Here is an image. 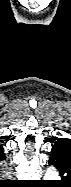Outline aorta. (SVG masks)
Returning a JSON list of instances; mask_svg holds the SVG:
<instances>
[{"label": "aorta", "instance_id": "762f6f07", "mask_svg": "<svg viewBox=\"0 0 71 187\" xmlns=\"http://www.w3.org/2000/svg\"><path fill=\"white\" fill-rule=\"evenodd\" d=\"M44 180H60V176L54 167H49L46 170Z\"/></svg>", "mask_w": 71, "mask_h": 187}]
</instances>
